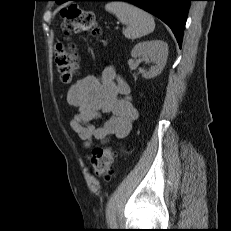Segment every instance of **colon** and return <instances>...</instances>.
Here are the masks:
<instances>
[{
  "instance_id": "1",
  "label": "colon",
  "mask_w": 231,
  "mask_h": 231,
  "mask_svg": "<svg viewBox=\"0 0 231 231\" xmlns=\"http://www.w3.org/2000/svg\"><path fill=\"white\" fill-rule=\"evenodd\" d=\"M63 27L69 32L100 33L94 15L77 4H69L61 11ZM55 61L63 83H70L79 68V56L74 47L59 44L56 48ZM114 151L110 147H96L91 154V166L95 175L106 176L112 166Z\"/></svg>"
}]
</instances>
